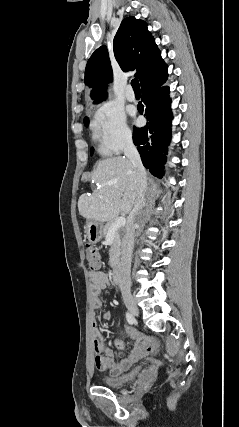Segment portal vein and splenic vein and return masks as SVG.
<instances>
[{"label":"portal vein and splenic vein","instance_id":"obj_1","mask_svg":"<svg viewBox=\"0 0 239 427\" xmlns=\"http://www.w3.org/2000/svg\"><path fill=\"white\" fill-rule=\"evenodd\" d=\"M126 219L124 217L116 218L115 222L112 224L110 231H116L118 228L125 226Z\"/></svg>","mask_w":239,"mask_h":427}]
</instances>
